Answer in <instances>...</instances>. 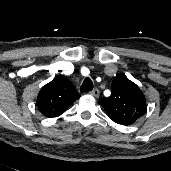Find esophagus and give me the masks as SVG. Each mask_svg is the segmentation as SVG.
I'll list each match as a JSON object with an SVG mask.
<instances>
[{
    "label": "esophagus",
    "instance_id": "34e87169",
    "mask_svg": "<svg viewBox=\"0 0 171 171\" xmlns=\"http://www.w3.org/2000/svg\"><path fill=\"white\" fill-rule=\"evenodd\" d=\"M90 94L93 95L94 97L98 98L99 97V90L97 88H95L90 92Z\"/></svg>",
    "mask_w": 171,
    "mask_h": 171
}]
</instances>
